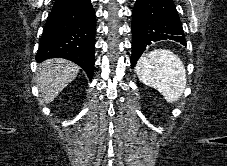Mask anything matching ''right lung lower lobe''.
Wrapping results in <instances>:
<instances>
[{
    "label": "right lung lower lobe",
    "instance_id": "98d812e1",
    "mask_svg": "<svg viewBox=\"0 0 227 166\" xmlns=\"http://www.w3.org/2000/svg\"><path fill=\"white\" fill-rule=\"evenodd\" d=\"M95 26L90 0H55L43 30L37 62L65 58L81 66L92 79Z\"/></svg>",
    "mask_w": 227,
    "mask_h": 166
}]
</instances>
